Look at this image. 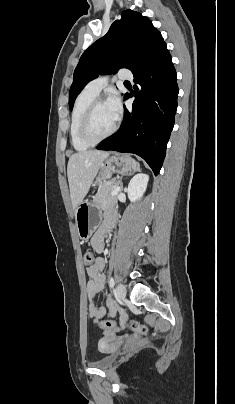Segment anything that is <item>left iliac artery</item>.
<instances>
[{
    "mask_svg": "<svg viewBox=\"0 0 235 404\" xmlns=\"http://www.w3.org/2000/svg\"><path fill=\"white\" fill-rule=\"evenodd\" d=\"M114 285H115V281H114V278L111 276L110 280H109V286H110V288H113Z\"/></svg>",
    "mask_w": 235,
    "mask_h": 404,
    "instance_id": "obj_1",
    "label": "left iliac artery"
}]
</instances>
